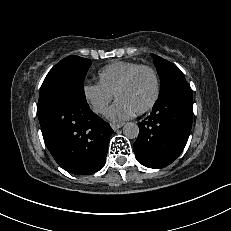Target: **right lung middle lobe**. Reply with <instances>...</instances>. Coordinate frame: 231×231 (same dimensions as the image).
I'll use <instances>...</instances> for the list:
<instances>
[{
  "label": "right lung middle lobe",
  "instance_id": "obj_1",
  "mask_svg": "<svg viewBox=\"0 0 231 231\" xmlns=\"http://www.w3.org/2000/svg\"><path fill=\"white\" fill-rule=\"evenodd\" d=\"M91 61L79 56H68L57 63L45 77L38 106L60 94H72L85 99L84 79Z\"/></svg>",
  "mask_w": 231,
  "mask_h": 231
}]
</instances>
